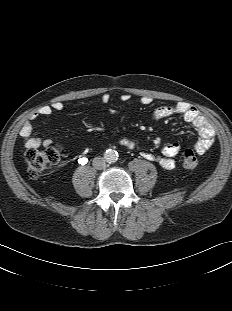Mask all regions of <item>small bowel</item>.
<instances>
[{
  "label": "small bowel",
  "mask_w": 232,
  "mask_h": 311,
  "mask_svg": "<svg viewBox=\"0 0 232 311\" xmlns=\"http://www.w3.org/2000/svg\"><path fill=\"white\" fill-rule=\"evenodd\" d=\"M121 100L126 102L130 99L129 94H122ZM102 102L106 103L110 100L109 94L105 93L101 97ZM152 102L151 97L144 96L141 103L148 105ZM65 109L64 102L60 100L52 101L48 105L42 106L27 120L21 127L20 135L24 140V145L28 149H36L40 146L49 147L53 144L50 138L42 139L39 132L35 130L32 121L42 117H49L55 112H61ZM172 115H180L183 119L191 124L199 134V140L195 143L194 149L199 154H204L209 150L215 140V130L211 123L195 108L185 103L175 105L160 106L153 112L154 119H162ZM120 144L128 149L136 148V142L128 137H121ZM180 147L176 143H170L163 147L160 155H154L149 152H142L141 156L148 161L157 162L162 168L172 170L176 163L174 157L179 153Z\"/></svg>",
  "instance_id": "1"
}]
</instances>
